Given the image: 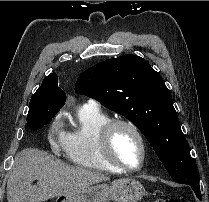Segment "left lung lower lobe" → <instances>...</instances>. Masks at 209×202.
Instances as JSON below:
<instances>
[{
  "instance_id": "left-lung-lower-lobe-1",
  "label": "left lung lower lobe",
  "mask_w": 209,
  "mask_h": 202,
  "mask_svg": "<svg viewBox=\"0 0 209 202\" xmlns=\"http://www.w3.org/2000/svg\"><path fill=\"white\" fill-rule=\"evenodd\" d=\"M192 189L194 190L196 196L201 200V192H200V186L199 185H190Z\"/></svg>"
}]
</instances>
